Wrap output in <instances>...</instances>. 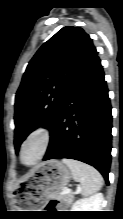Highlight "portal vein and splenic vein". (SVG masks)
<instances>
[{
  "mask_svg": "<svg viewBox=\"0 0 123 219\" xmlns=\"http://www.w3.org/2000/svg\"><path fill=\"white\" fill-rule=\"evenodd\" d=\"M70 191H71V190L67 188V189L63 190V193H64V194H69Z\"/></svg>",
  "mask_w": 123,
  "mask_h": 219,
  "instance_id": "obj_1",
  "label": "portal vein and splenic vein"
}]
</instances>
